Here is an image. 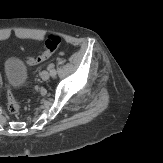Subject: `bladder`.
Wrapping results in <instances>:
<instances>
[{
	"instance_id": "obj_1",
	"label": "bladder",
	"mask_w": 163,
	"mask_h": 163,
	"mask_svg": "<svg viewBox=\"0 0 163 163\" xmlns=\"http://www.w3.org/2000/svg\"><path fill=\"white\" fill-rule=\"evenodd\" d=\"M4 78L10 87L20 89L27 82L28 70L20 59L9 57L4 63Z\"/></svg>"
}]
</instances>
